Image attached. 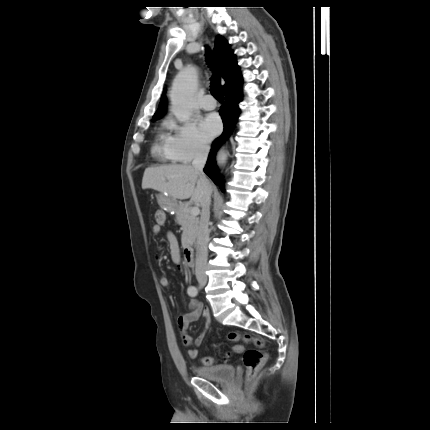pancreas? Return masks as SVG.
<instances>
[{"label": "pancreas", "instance_id": "pancreas-1", "mask_svg": "<svg viewBox=\"0 0 430 430\" xmlns=\"http://www.w3.org/2000/svg\"><path fill=\"white\" fill-rule=\"evenodd\" d=\"M191 206L180 204L176 209V222L182 227L181 242L186 245L193 242L197 235L199 218L191 214Z\"/></svg>", "mask_w": 430, "mask_h": 430}]
</instances>
